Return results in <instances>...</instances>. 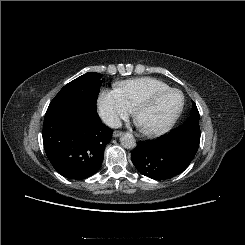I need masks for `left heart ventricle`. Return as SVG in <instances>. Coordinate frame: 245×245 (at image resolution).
Segmentation results:
<instances>
[{
  "instance_id": "b2bd125f",
  "label": "left heart ventricle",
  "mask_w": 245,
  "mask_h": 245,
  "mask_svg": "<svg viewBox=\"0 0 245 245\" xmlns=\"http://www.w3.org/2000/svg\"><path fill=\"white\" fill-rule=\"evenodd\" d=\"M181 100V95L177 92L158 98L140 110L137 124L146 129L160 126L174 115L181 105Z\"/></svg>"
}]
</instances>
